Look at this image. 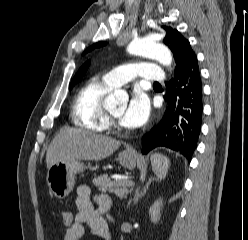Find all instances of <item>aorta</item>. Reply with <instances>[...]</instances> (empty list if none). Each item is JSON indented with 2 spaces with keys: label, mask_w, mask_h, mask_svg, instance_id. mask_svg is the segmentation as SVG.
<instances>
[{
  "label": "aorta",
  "mask_w": 248,
  "mask_h": 240,
  "mask_svg": "<svg viewBox=\"0 0 248 240\" xmlns=\"http://www.w3.org/2000/svg\"><path fill=\"white\" fill-rule=\"evenodd\" d=\"M127 51L133 55L156 59L165 66H170L172 63V54L170 50L166 46L157 43L152 38L133 40L129 44ZM126 97V92L123 90H116L107 97L106 102L109 104H116Z\"/></svg>",
  "instance_id": "obj_1"
}]
</instances>
